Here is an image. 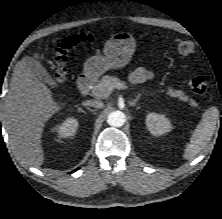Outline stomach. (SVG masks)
I'll return each mask as SVG.
<instances>
[{
  "instance_id": "0dacf381",
  "label": "stomach",
  "mask_w": 222,
  "mask_h": 219,
  "mask_svg": "<svg viewBox=\"0 0 222 219\" xmlns=\"http://www.w3.org/2000/svg\"><path fill=\"white\" fill-rule=\"evenodd\" d=\"M136 50V41L129 32L113 34L104 45V56H92L84 64V75L97 78L109 69L126 66Z\"/></svg>"
}]
</instances>
